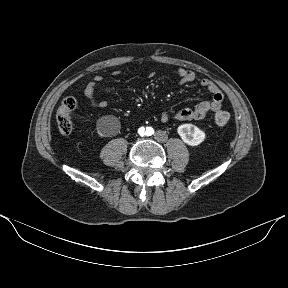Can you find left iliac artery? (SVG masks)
Listing matches in <instances>:
<instances>
[{
    "mask_svg": "<svg viewBox=\"0 0 288 288\" xmlns=\"http://www.w3.org/2000/svg\"><path fill=\"white\" fill-rule=\"evenodd\" d=\"M149 132H150V135L154 133L153 129H151V128H150Z\"/></svg>",
    "mask_w": 288,
    "mask_h": 288,
    "instance_id": "left-iliac-artery-1",
    "label": "left iliac artery"
}]
</instances>
